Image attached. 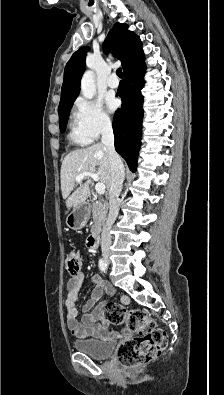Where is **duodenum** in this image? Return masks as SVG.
<instances>
[{
    "label": "duodenum",
    "instance_id": "1",
    "mask_svg": "<svg viewBox=\"0 0 224 395\" xmlns=\"http://www.w3.org/2000/svg\"><path fill=\"white\" fill-rule=\"evenodd\" d=\"M99 242V231L94 229L87 239V245L90 249H95Z\"/></svg>",
    "mask_w": 224,
    "mask_h": 395
}]
</instances>
